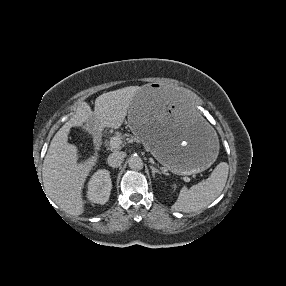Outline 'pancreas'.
<instances>
[{
	"instance_id": "pancreas-1",
	"label": "pancreas",
	"mask_w": 286,
	"mask_h": 286,
	"mask_svg": "<svg viewBox=\"0 0 286 286\" xmlns=\"http://www.w3.org/2000/svg\"><path fill=\"white\" fill-rule=\"evenodd\" d=\"M125 136H129V135H127V134H122V133H119V132H117L116 133V135H115V137H118L120 140H122ZM135 141H137V142H139V139H137V138H133Z\"/></svg>"
}]
</instances>
